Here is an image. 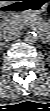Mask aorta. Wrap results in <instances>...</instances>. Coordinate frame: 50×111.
I'll return each mask as SVG.
<instances>
[{
  "mask_svg": "<svg viewBox=\"0 0 50 111\" xmlns=\"http://www.w3.org/2000/svg\"><path fill=\"white\" fill-rule=\"evenodd\" d=\"M24 40L29 44L36 43L37 34L35 32H27L26 35L24 36Z\"/></svg>",
  "mask_w": 50,
  "mask_h": 111,
  "instance_id": "1",
  "label": "aorta"
}]
</instances>
